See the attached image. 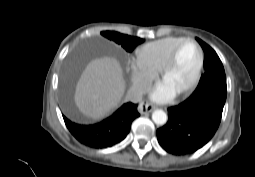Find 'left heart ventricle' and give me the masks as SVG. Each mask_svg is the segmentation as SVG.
I'll return each instance as SVG.
<instances>
[{
    "mask_svg": "<svg viewBox=\"0 0 255 177\" xmlns=\"http://www.w3.org/2000/svg\"><path fill=\"white\" fill-rule=\"evenodd\" d=\"M199 64V53L196 47L185 44L179 51L174 67L164 78V82L176 92L186 87L194 78Z\"/></svg>",
    "mask_w": 255,
    "mask_h": 177,
    "instance_id": "1",
    "label": "left heart ventricle"
}]
</instances>
